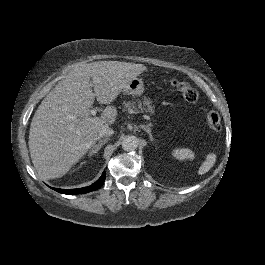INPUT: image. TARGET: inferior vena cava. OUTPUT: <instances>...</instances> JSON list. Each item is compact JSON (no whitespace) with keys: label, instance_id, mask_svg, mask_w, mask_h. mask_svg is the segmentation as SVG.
I'll list each match as a JSON object with an SVG mask.
<instances>
[{"label":"inferior vena cava","instance_id":"602c4592","mask_svg":"<svg viewBox=\"0 0 265 265\" xmlns=\"http://www.w3.org/2000/svg\"><path fill=\"white\" fill-rule=\"evenodd\" d=\"M114 133L113 129H111L108 125L103 126L102 128H100V130L98 131V134L100 137H104V136H111Z\"/></svg>","mask_w":265,"mask_h":265}]
</instances>
